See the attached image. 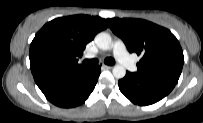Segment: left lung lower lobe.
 I'll return each instance as SVG.
<instances>
[{"mask_svg":"<svg viewBox=\"0 0 203 123\" xmlns=\"http://www.w3.org/2000/svg\"><path fill=\"white\" fill-rule=\"evenodd\" d=\"M120 91L134 104L147 106L168 95L176 84L161 78L126 72L119 80Z\"/></svg>","mask_w":203,"mask_h":123,"instance_id":"obj_1","label":"left lung lower lobe"}]
</instances>
